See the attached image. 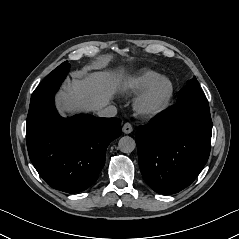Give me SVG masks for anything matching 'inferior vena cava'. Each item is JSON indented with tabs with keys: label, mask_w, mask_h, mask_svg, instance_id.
I'll list each match as a JSON object with an SVG mask.
<instances>
[{
	"label": "inferior vena cava",
	"mask_w": 239,
	"mask_h": 239,
	"mask_svg": "<svg viewBox=\"0 0 239 239\" xmlns=\"http://www.w3.org/2000/svg\"><path fill=\"white\" fill-rule=\"evenodd\" d=\"M99 117H114L117 114V108L113 105L98 111Z\"/></svg>",
	"instance_id": "inferior-vena-cava-1"
}]
</instances>
